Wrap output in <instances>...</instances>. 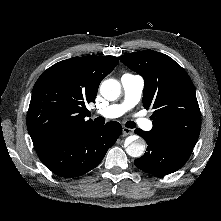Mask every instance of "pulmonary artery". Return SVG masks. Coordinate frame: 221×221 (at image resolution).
I'll return each mask as SVG.
<instances>
[{"mask_svg":"<svg viewBox=\"0 0 221 221\" xmlns=\"http://www.w3.org/2000/svg\"><path fill=\"white\" fill-rule=\"evenodd\" d=\"M121 84L124 92L123 101L97 110V115L106 119L118 118L140 101L144 89V79L140 75L126 73L121 77ZM136 122L144 130H151L153 127L147 118H138Z\"/></svg>","mask_w":221,"mask_h":221,"instance_id":"1","label":"pulmonary artery"}]
</instances>
